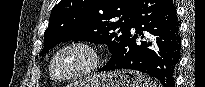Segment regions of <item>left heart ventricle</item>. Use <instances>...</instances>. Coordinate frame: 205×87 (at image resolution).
<instances>
[{"label": "left heart ventricle", "mask_w": 205, "mask_h": 87, "mask_svg": "<svg viewBox=\"0 0 205 87\" xmlns=\"http://www.w3.org/2000/svg\"><path fill=\"white\" fill-rule=\"evenodd\" d=\"M88 61L85 52L78 49H70L62 52L54 62V74L57 77L68 75L82 66Z\"/></svg>", "instance_id": "obj_1"}]
</instances>
